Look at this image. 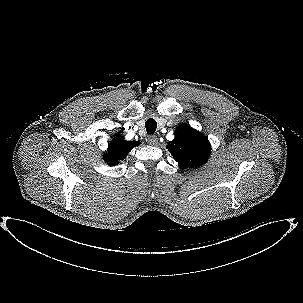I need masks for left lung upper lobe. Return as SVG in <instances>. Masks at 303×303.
<instances>
[{
    "label": "left lung upper lobe",
    "instance_id": "obj_1",
    "mask_svg": "<svg viewBox=\"0 0 303 303\" xmlns=\"http://www.w3.org/2000/svg\"><path fill=\"white\" fill-rule=\"evenodd\" d=\"M167 149L182 169L203 165L211 152L208 138L189 124H182L176 129L175 138L168 143Z\"/></svg>",
    "mask_w": 303,
    "mask_h": 303
}]
</instances>
